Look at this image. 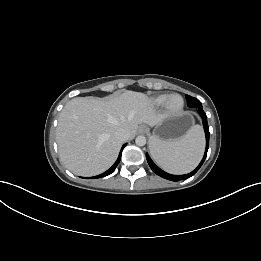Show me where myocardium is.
<instances>
[{"instance_id": "1", "label": "myocardium", "mask_w": 261, "mask_h": 261, "mask_svg": "<svg viewBox=\"0 0 261 261\" xmlns=\"http://www.w3.org/2000/svg\"><path fill=\"white\" fill-rule=\"evenodd\" d=\"M175 98L180 99V104L178 106L172 105V101ZM184 106H185V101H184L183 97L179 94L170 95L165 102V108H166L167 112L171 115L179 114L184 109Z\"/></svg>"}]
</instances>
